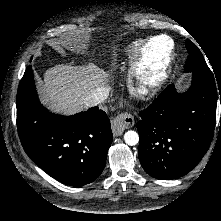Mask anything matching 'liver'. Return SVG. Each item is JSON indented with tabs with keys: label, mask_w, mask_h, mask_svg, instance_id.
<instances>
[{
	"label": "liver",
	"mask_w": 221,
	"mask_h": 221,
	"mask_svg": "<svg viewBox=\"0 0 221 221\" xmlns=\"http://www.w3.org/2000/svg\"><path fill=\"white\" fill-rule=\"evenodd\" d=\"M108 74L93 63L84 66L58 64L44 74L42 102L51 110L66 115L81 111L85 98L105 86Z\"/></svg>",
	"instance_id": "1"
}]
</instances>
